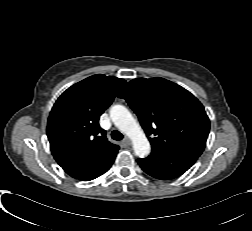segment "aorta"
<instances>
[{"mask_svg": "<svg viewBox=\"0 0 252 231\" xmlns=\"http://www.w3.org/2000/svg\"><path fill=\"white\" fill-rule=\"evenodd\" d=\"M110 117L114 125L132 140L134 153L138 157L144 158L150 154L151 146L144 131L125 106L114 105L110 109Z\"/></svg>", "mask_w": 252, "mask_h": 231, "instance_id": "aorta-1", "label": "aorta"}]
</instances>
